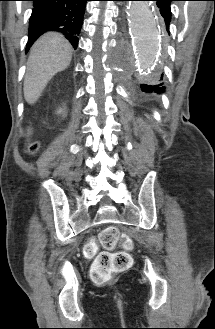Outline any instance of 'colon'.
I'll use <instances>...</instances> for the list:
<instances>
[{"label": "colon", "mask_w": 215, "mask_h": 329, "mask_svg": "<svg viewBox=\"0 0 215 329\" xmlns=\"http://www.w3.org/2000/svg\"><path fill=\"white\" fill-rule=\"evenodd\" d=\"M39 149L38 142L31 141L26 146V151L29 154H34ZM119 241H122L125 251L116 253L102 252L94 260L90 276L95 283H104L119 272L128 269L132 264V257L128 252L132 243L128 237H121L118 229L115 226L106 227L99 235V242L105 249H113ZM96 249V243L91 242L84 248L86 255H93Z\"/></svg>", "instance_id": "obj_1"}]
</instances>
